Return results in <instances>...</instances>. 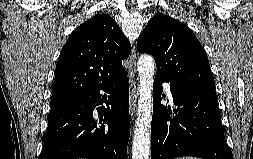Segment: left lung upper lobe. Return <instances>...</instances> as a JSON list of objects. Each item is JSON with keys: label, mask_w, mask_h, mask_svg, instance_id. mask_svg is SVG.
<instances>
[{"label": "left lung upper lobe", "mask_w": 253, "mask_h": 159, "mask_svg": "<svg viewBox=\"0 0 253 159\" xmlns=\"http://www.w3.org/2000/svg\"><path fill=\"white\" fill-rule=\"evenodd\" d=\"M140 53L151 54L156 76L172 82L214 88V79L202 45L183 23L164 14L152 17L137 40Z\"/></svg>", "instance_id": "left-lung-upper-lobe-1"}]
</instances>
